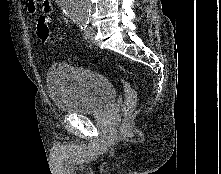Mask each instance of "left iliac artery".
Wrapping results in <instances>:
<instances>
[{"label":"left iliac artery","mask_w":221,"mask_h":174,"mask_svg":"<svg viewBox=\"0 0 221 174\" xmlns=\"http://www.w3.org/2000/svg\"><path fill=\"white\" fill-rule=\"evenodd\" d=\"M87 24H88V21H81L79 22V26L82 28V29H85L87 27Z\"/></svg>","instance_id":"1"}]
</instances>
